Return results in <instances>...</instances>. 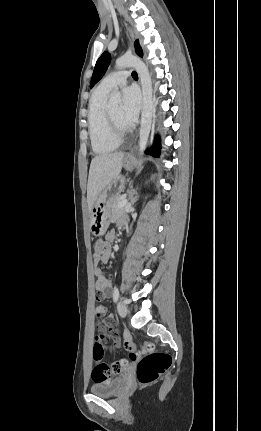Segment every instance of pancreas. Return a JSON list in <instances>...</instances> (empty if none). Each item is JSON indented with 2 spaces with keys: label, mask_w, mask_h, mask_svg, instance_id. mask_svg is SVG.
Listing matches in <instances>:
<instances>
[{
  "label": "pancreas",
  "mask_w": 261,
  "mask_h": 431,
  "mask_svg": "<svg viewBox=\"0 0 261 431\" xmlns=\"http://www.w3.org/2000/svg\"><path fill=\"white\" fill-rule=\"evenodd\" d=\"M123 200V197L120 195H117L111 204V213H112V217L116 218L118 217L120 214H123L125 212V209L123 207H119V203Z\"/></svg>",
  "instance_id": "1"
}]
</instances>
